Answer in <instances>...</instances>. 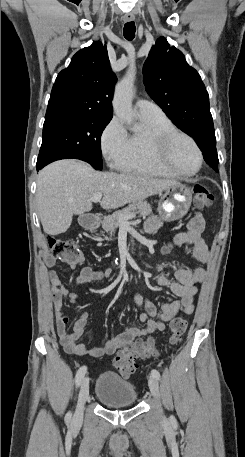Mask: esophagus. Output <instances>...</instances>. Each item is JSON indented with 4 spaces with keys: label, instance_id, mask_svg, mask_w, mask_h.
Instances as JSON below:
<instances>
[{
    "label": "esophagus",
    "instance_id": "1",
    "mask_svg": "<svg viewBox=\"0 0 245 457\" xmlns=\"http://www.w3.org/2000/svg\"><path fill=\"white\" fill-rule=\"evenodd\" d=\"M134 19L135 16L133 15V13H126L123 17L124 22H131Z\"/></svg>",
    "mask_w": 245,
    "mask_h": 457
}]
</instances>
